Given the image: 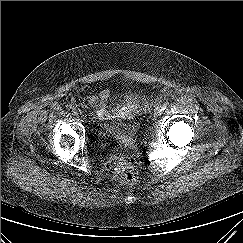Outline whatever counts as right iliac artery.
I'll list each match as a JSON object with an SVG mask.
<instances>
[{
    "label": "right iliac artery",
    "mask_w": 243,
    "mask_h": 243,
    "mask_svg": "<svg viewBox=\"0 0 243 243\" xmlns=\"http://www.w3.org/2000/svg\"><path fill=\"white\" fill-rule=\"evenodd\" d=\"M81 114V111L80 110H76L75 112H74V115L75 116H79Z\"/></svg>",
    "instance_id": "82829eb1"
}]
</instances>
